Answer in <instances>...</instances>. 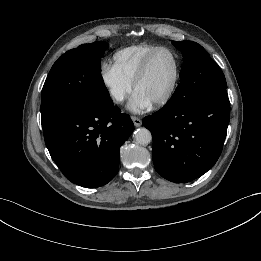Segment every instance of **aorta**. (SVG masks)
<instances>
[{
	"label": "aorta",
	"instance_id": "762f6f07",
	"mask_svg": "<svg viewBox=\"0 0 261 261\" xmlns=\"http://www.w3.org/2000/svg\"><path fill=\"white\" fill-rule=\"evenodd\" d=\"M134 140L139 145H148L152 141L151 132L147 128H139L134 131Z\"/></svg>",
	"mask_w": 261,
	"mask_h": 261
}]
</instances>
